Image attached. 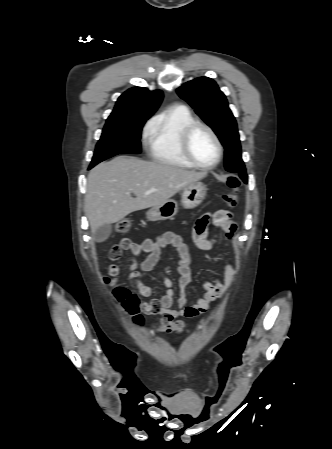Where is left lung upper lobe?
I'll list each match as a JSON object with an SVG mask.
<instances>
[{
    "instance_id": "left-lung-upper-lobe-1",
    "label": "left lung upper lobe",
    "mask_w": 332,
    "mask_h": 449,
    "mask_svg": "<svg viewBox=\"0 0 332 449\" xmlns=\"http://www.w3.org/2000/svg\"><path fill=\"white\" fill-rule=\"evenodd\" d=\"M177 93L218 136L225 148V169L238 173L246 183L247 174L241 157L237 124L227 99L216 82L208 77H199L180 86Z\"/></svg>"
}]
</instances>
